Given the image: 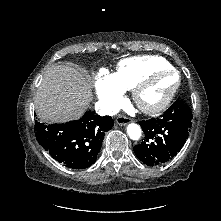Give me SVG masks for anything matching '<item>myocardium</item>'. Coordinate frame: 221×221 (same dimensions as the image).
Instances as JSON below:
<instances>
[{
	"mask_svg": "<svg viewBox=\"0 0 221 221\" xmlns=\"http://www.w3.org/2000/svg\"><path fill=\"white\" fill-rule=\"evenodd\" d=\"M172 75L175 77V82L167 95L155 104H147L143 101L142 95L150 86L163 76ZM181 85V77L174 68H162L155 70L144 77L133 89L132 97L136 106L146 114H157L168 107L177 94Z\"/></svg>",
	"mask_w": 221,
	"mask_h": 221,
	"instance_id": "1",
	"label": "myocardium"
}]
</instances>
